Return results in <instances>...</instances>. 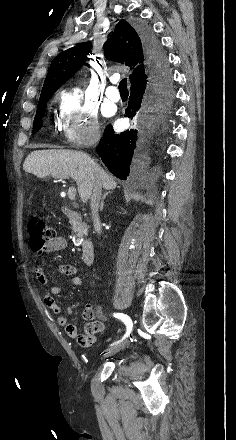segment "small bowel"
<instances>
[{
	"instance_id": "obj_1",
	"label": "small bowel",
	"mask_w": 236,
	"mask_h": 440,
	"mask_svg": "<svg viewBox=\"0 0 236 440\" xmlns=\"http://www.w3.org/2000/svg\"><path fill=\"white\" fill-rule=\"evenodd\" d=\"M67 247V239L64 236H56L48 242L43 248L36 250L37 256H42L46 253L59 252ZM34 274L38 281L47 286V292L44 296L45 306L52 311L57 317V322L61 327H64L67 335L70 338L77 337L78 343L82 346H89L95 341V334L99 332L103 323L101 321H92L94 317V308L91 304H87L83 309V317L89 322L83 323L84 332L78 334L76 327L71 324L66 315L62 313L60 305L52 298L61 292V288L57 285L49 284L48 276L45 270L40 266L34 267ZM59 272L62 275L70 276V284L72 286H81L83 283L82 277L78 274V269L71 264H64L59 267ZM68 313H72V307H68Z\"/></svg>"
}]
</instances>
